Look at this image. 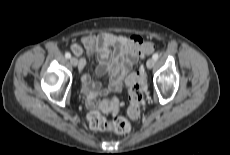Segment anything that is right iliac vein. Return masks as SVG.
I'll use <instances>...</instances> for the list:
<instances>
[{
	"mask_svg": "<svg viewBox=\"0 0 230 155\" xmlns=\"http://www.w3.org/2000/svg\"><path fill=\"white\" fill-rule=\"evenodd\" d=\"M70 63L73 66H77L78 65V60L75 57H71L70 58Z\"/></svg>",
	"mask_w": 230,
	"mask_h": 155,
	"instance_id": "63e3f726",
	"label": "right iliac vein"
}]
</instances>
